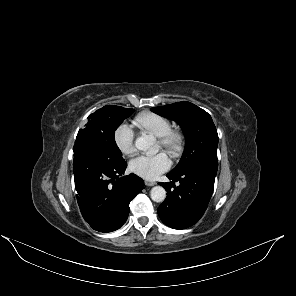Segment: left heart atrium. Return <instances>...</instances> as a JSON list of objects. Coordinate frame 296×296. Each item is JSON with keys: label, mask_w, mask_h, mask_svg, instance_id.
Returning <instances> with one entry per match:
<instances>
[{"label": "left heart atrium", "mask_w": 296, "mask_h": 296, "mask_svg": "<svg viewBox=\"0 0 296 296\" xmlns=\"http://www.w3.org/2000/svg\"><path fill=\"white\" fill-rule=\"evenodd\" d=\"M171 162L164 152L155 155H141L130 161V170L147 180H153L170 168Z\"/></svg>", "instance_id": "left-heart-atrium-1"}]
</instances>
